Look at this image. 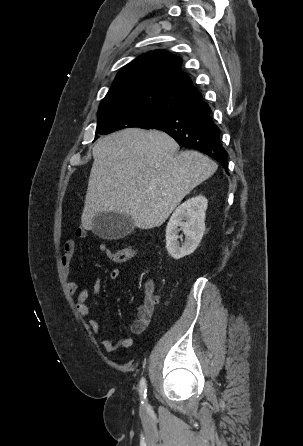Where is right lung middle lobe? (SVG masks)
I'll use <instances>...</instances> for the list:
<instances>
[{
  "instance_id": "dd1d6c3e",
  "label": "right lung middle lobe",
  "mask_w": 303,
  "mask_h": 446,
  "mask_svg": "<svg viewBox=\"0 0 303 446\" xmlns=\"http://www.w3.org/2000/svg\"><path fill=\"white\" fill-rule=\"evenodd\" d=\"M181 106H184L182 105V101H174L170 105L169 110L174 111ZM165 113L167 112L141 105L112 104L99 107L98 124L94 141L99 135L108 134L128 127H140L146 122Z\"/></svg>"
}]
</instances>
